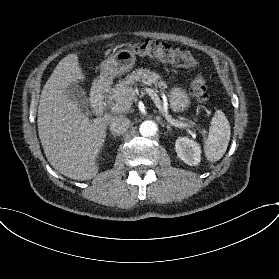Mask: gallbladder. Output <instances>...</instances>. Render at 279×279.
Masks as SVG:
<instances>
[{
	"instance_id": "obj_1",
	"label": "gallbladder",
	"mask_w": 279,
	"mask_h": 279,
	"mask_svg": "<svg viewBox=\"0 0 279 279\" xmlns=\"http://www.w3.org/2000/svg\"><path fill=\"white\" fill-rule=\"evenodd\" d=\"M65 94L70 100L76 102L82 110H88V97L86 91L78 84V82L69 85L65 89Z\"/></svg>"
}]
</instances>
